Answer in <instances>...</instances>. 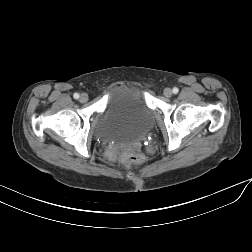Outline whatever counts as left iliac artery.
Masks as SVG:
<instances>
[{
    "instance_id": "44dca946",
    "label": "left iliac artery",
    "mask_w": 252,
    "mask_h": 252,
    "mask_svg": "<svg viewBox=\"0 0 252 252\" xmlns=\"http://www.w3.org/2000/svg\"><path fill=\"white\" fill-rule=\"evenodd\" d=\"M172 91L174 94H177L179 92V89L177 87H174Z\"/></svg>"
}]
</instances>
